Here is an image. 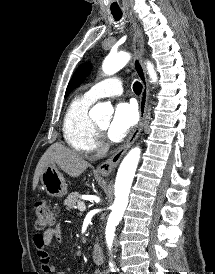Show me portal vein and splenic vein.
I'll return each mask as SVG.
<instances>
[{
	"label": "portal vein and splenic vein",
	"instance_id": "portal-vein-and-splenic-vein-1",
	"mask_svg": "<svg viewBox=\"0 0 215 274\" xmlns=\"http://www.w3.org/2000/svg\"><path fill=\"white\" fill-rule=\"evenodd\" d=\"M77 207H78V209L80 210V211H85L86 210V206H85V204L83 203V202H79L78 204H77Z\"/></svg>",
	"mask_w": 215,
	"mask_h": 274
}]
</instances>
